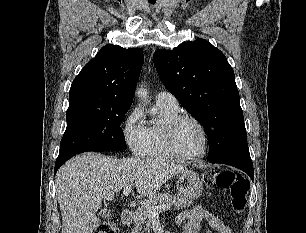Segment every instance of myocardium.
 Here are the masks:
<instances>
[{"label":"myocardium","instance_id":"f54148a6","mask_svg":"<svg viewBox=\"0 0 306 233\" xmlns=\"http://www.w3.org/2000/svg\"><path fill=\"white\" fill-rule=\"evenodd\" d=\"M185 121H191L193 123H195L202 135H203V150L201 151V153L197 154V155H185L182 152H180V150L177 147L176 144V133L177 130L179 128V126L185 122ZM165 137H166V143L168 146L169 151L171 152V154L181 160H187V161H194V160H198L203 158L207 152H208V148H209V136H208V132L204 126V124L195 116L189 115V114H179L176 117H174L173 119H171L167 125H166V129H165Z\"/></svg>","mask_w":306,"mask_h":233}]
</instances>
